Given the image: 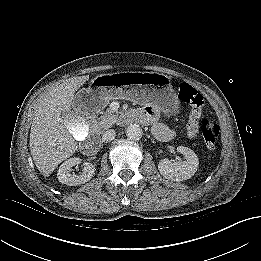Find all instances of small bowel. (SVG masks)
I'll use <instances>...</instances> for the list:
<instances>
[{
    "label": "small bowel",
    "instance_id": "c3829d8e",
    "mask_svg": "<svg viewBox=\"0 0 261 261\" xmlns=\"http://www.w3.org/2000/svg\"><path fill=\"white\" fill-rule=\"evenodd\" d=\"M135 117L143 123H153L152 133L161 141H170L175 136V131L163 123L154 122L157 115V108L154 106H145L134 110Z\"/></svg>",
    "mask_w": 261,
    "mask_h": 261
}]
</instances>
